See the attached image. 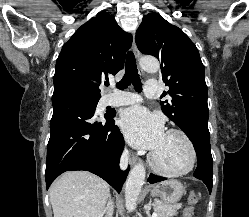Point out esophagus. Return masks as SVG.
<instances>
[{
  "mask_svg": "<svg viewBox=\"0 0 249 217\" xmlns=\"http://www.w3.org/2000/svg\"><path fill=\"white\" fill-rule=\"evenodd\" d=\"M132 49H133V52H134V54H135V57L138 59L139 56H140V52H139V50H138V48H137V45H136V42H135V34H134V33H133V44H132ZM139 72H140L141 75L144 74V72H143L142 69H139ZM136 162H137V156H136V155H132V156H131V159H130V163H131L132 165H134Z\"/></svg>",
  "mask_w": 249,
  "mask_h": 217,
  "instance_id": "34e87169",
  "label": "esophagus"
}]
</instances>
